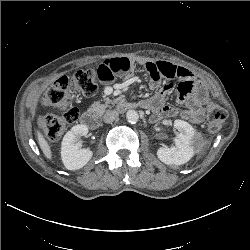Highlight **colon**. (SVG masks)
<instances>
[{
    "label": "colon",
    "instance_id": "colon-1",
    "mask_svg": "<svg viewBox=\"0 0 250 250\" xmlns=\"http://www.w3.org/2000/svg\"><path fill=\"white\" fill-rule=\"evenodd\" d=\"M98 74L94 68L76 71L72 76H61L56 79L42 96L41 103L45 107L55 108L62 113L46 114L40 117L39 125L51 140H57L66 128L77 121L79 111L72 106V97L81 93L90 97L96 94ZM226 119L225 110L215 103L207 105V126L210 132L222 128Z\"/></svg>",
    "mask_w": 250,
    "mask_h": 250
}]
</instances>
